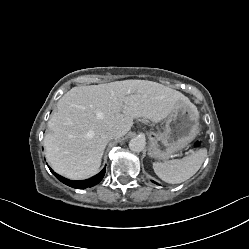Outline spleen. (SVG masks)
I'll return each mask as SVG.
<instances>
[{
	"label": "spleen",
	"mask_w": 249,
	"mask_h": 249,
	"mask_svg": "<svg viewBox=\"0 0 249 249\" xmlns=\"http://www.w3.org/2000/svg\"><path fill=\"white\" fill-rule=\"evenodd\" d=\"M206 157L207 149L202 148L182 159L154 162L153 170L164 182L179 184L192 177L200 169Z\"/></svg>",
	"instance_id": "3e777b00"
}]
</instances>
